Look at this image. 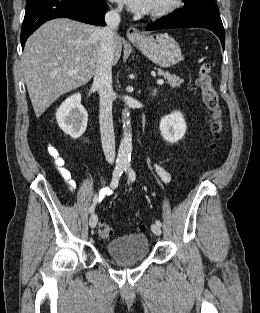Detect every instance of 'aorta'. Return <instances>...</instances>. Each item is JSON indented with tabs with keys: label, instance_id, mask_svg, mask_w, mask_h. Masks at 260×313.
<instances>
[{
	"label": "aorta",
	"instance_id": "aorta-1",
	"mask_svg": "<svg viewBox=\"0 0 260 313\" xmlns=\"http://www.w3.org/2000/svg\"><path fill=\"white\" fill-rule=\"evenodd\" d=\"M129 113L126 111L124 113V118H128ZM132 153V132L130 127L125 128L117 155V161L119 164H129L131 160Z\"/></svg>",
	"mask_w": 260,
	"mask_h": 313
}]
</instances>
